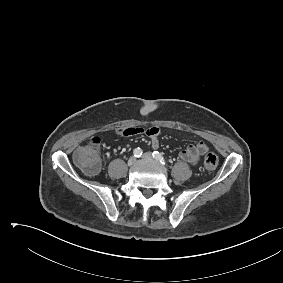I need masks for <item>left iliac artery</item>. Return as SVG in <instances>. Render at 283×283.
Segmentation results:
<instances>
[{"label": "left iliac artery", "mask_w": 283, "mask_h": 283, "mask_svg": "<svg viewBox=\"0 0 283 283\" xmlns=\"http://www.w3.org/2000/svg\"><path fill=\"white\" fill-rule=\"evenodd\" d=\"M152 155L156 160L160 161L162 164H166L164 157L158 151H154Z\"/></svg>", "instance_id": "obj_1"}]
</instances>
